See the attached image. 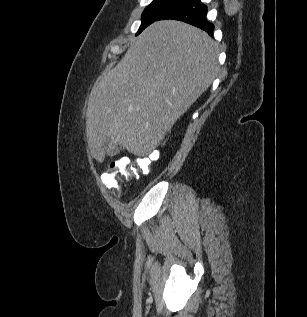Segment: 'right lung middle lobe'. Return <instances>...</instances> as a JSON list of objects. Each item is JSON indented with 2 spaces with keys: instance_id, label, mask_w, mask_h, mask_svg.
Returning a JSON list of instances; mask_svg holds the SVG:
<instances>
[{
  "instance_id": "1",
  "label": "right lung middle lobe",
  "mask_w": 307,
  "mask_h": 317,
  "mask_svg": "<svg viewBox=\"0 0 307 317\" xmlns=\"http://www.w3.org/2000/svg\"><path fill=\"white\" fill-rule=\"evenodd\" d=\"M174 0H153L152 3L145 8L142 14V23L137 35L148 25L153 23L161 13L168 8Z\"/></svg>"
}]
</instances>
